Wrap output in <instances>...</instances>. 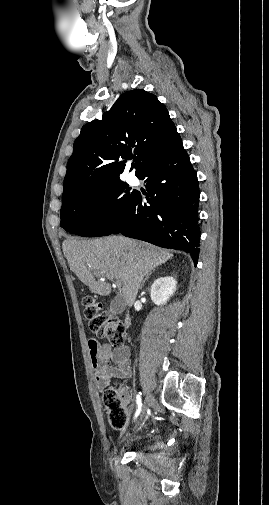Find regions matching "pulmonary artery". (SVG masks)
Returning <instances> with one entry per match:
<instances>
[{"mask_svg": "<svg viewBox=\"0 0 269 505\" xmlns=\"http://www.w3.org/2000/svg\"><path fill=\"white\" fill-rule=\"evenodd\" d=\"M128 180H129V182H130V183H135L136 178H135V176H134V175L130 174V175L128 176Z\"/></svg>", "mask_w": 269, "mask_h": 505, "instance_id": "obj_1", "label": "pulmonary artery"}]
</instances>
